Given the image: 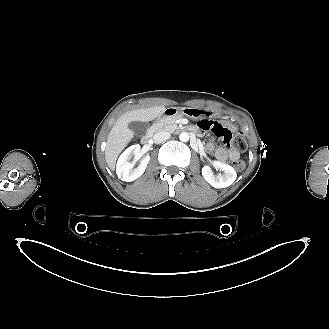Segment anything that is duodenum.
I'll use <instances>...</instances> for the list:
<instances>
[{
    "instance_id": "duodenum-1",
    "label": "duodenum",
    "mask_w": 329,
    "mask_h": 329,
    "mask_svg": "<svg viewBox=\"0 0 329 329\" xmlns=\"http://www.w3.org/2000/svg\"><path fill=\"white\" fill-rule=\"evenodd\" d=\"M177 114V110L174 109V108H167L165 111H164V115L166 117H171V116H175ZM152 138V133L151 132H147L143 137H142V142L144 144H148L150 142Z\"/></svg>"
}]
</instances>
